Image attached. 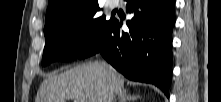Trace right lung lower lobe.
<instances>
[{"label":"right lung lower lobe","mask_w":221,"mask_h":102,"mask_svg":"<svg viewBox=\"0 0 221 102\" xmlns=\"http://www.w3.org/2000/svg\"><path fill=\"white\" fill-rule=\"evenodd\" d=\"M127 12L129 32L113 18L79 59L100 53L130 80L155 84L169 97L175 0H127Z\"/></svg>","instance_id":"right-lung-lower-lobe-1"}]
</instances>
